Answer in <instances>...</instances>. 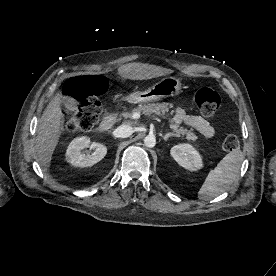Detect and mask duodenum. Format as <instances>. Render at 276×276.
<instances>
[{
	"mask_svg": "<svg viewBox=\"0 0 276 276\" xmlns=\"http://www.w3.org/2000/svg\"><path fill=\"white\" fill-rule=\"evenodd\" d=\"M115 122V115L113 113H109L104 120L98 126L99 133H106L108 132Z\"/></svg>",
	"mask_w": 276,
	"mask_h": 276,
	"instance_id": "410a0bca",
	"label": "duodenum"
}]
</instances>
